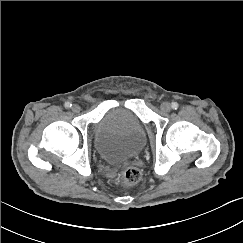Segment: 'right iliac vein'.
Wrapping results in <instances>:
<instances>
[{"mask_svg": "<svg viewBox=\"0 0 243 243\" xmlns=\"http://www.w3.org/2000/svg\"><path fill=\"white\" fill-rule=\"evenodd\" d=\"M71 110H72L74 113H78V112H80L81 107H80L78 104H74V105H72Z\"/></svg>", "mask_w": 243, "mask_h": 243, "instance_id": "1", "label": "right iliac vein"}]
</instances>
